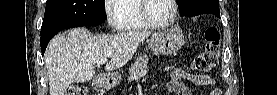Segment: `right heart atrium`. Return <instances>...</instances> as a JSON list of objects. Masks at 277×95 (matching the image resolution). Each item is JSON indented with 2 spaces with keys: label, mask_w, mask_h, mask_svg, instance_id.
Here are the masks:
<instances>
[{
  "label": "right heart atrium",
  "mask_w": 277,
  "mask_h": 95,
  "mask_svg": "<svg viewBox=\"0 0 277 95\" xmlns=\"http://www.w3.org/2000/svg\"><path fill=\"white\" fill-rule=\"evenodd\" d=\"M117 1L119 0H106L104 5L107 22L113 29H119V15L113 7Z\"/></svg>",
  "instance_id": "1"
}]
</instances>
